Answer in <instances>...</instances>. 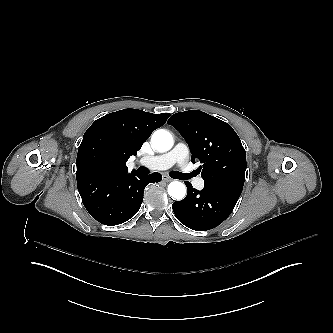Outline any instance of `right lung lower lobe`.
<instances>
[{"label":"right lung lower lobe","mask_w":333,"mask_h":333,"mask_svg":"<svg viewBox=\"0 0 333 333\" xmlns=\"http://www.w3.org/2000/svg\"><path fill=\"white\" fill-rule=\"evenodd\" d=\"M82 202L90 215L104 225H118L132 218L143 201L147 184L159 182V173L142 175L135 170H89L76 173Z\"/></svg>","instance_id":"98d812e1"}]
</instances>
